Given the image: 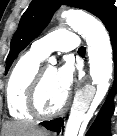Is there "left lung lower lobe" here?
<instances>
[{
  "label": "left lung lower lobe",
  "instance_id": "obj_1",
  "mask_svg": "<svg viewBox=\"0 0 117 136\" xmlns=\"http://www.w3.org/2000/svg\"><path fill=\"white\" fill-rule=\"evenodd\" d=\"M104 25L109 31L111 43L113 46L115 82L107 96L105 103L100 109L97 118L91 125L86 136H110V118L114 112L113 98L117 93V14L111 17ZM41 125H43L48 130L60 132L63 121L62 118H59L42 122Z\"/></svg>",
  "mask_w": 117,
  "mask_h": 136
}]
</instances>
